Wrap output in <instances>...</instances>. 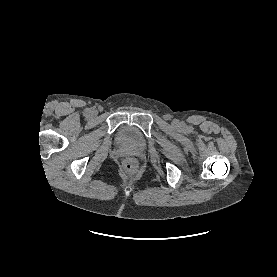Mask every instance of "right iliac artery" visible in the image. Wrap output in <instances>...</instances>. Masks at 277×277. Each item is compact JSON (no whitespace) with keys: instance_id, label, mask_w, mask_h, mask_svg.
<instances>
[{"instance_id":"1","label":"right iliac artery","mask_w":277,"mask_h":277,"mask_svg":"<svg viewBox=\"0 0 277 277\" xmlns=\"http://www.w3.org/2000/svg\"><path fill=\"white\" fill-rule=\"evenodd\" d=\"M85 114H86V115L90 114V110H89V109H86V110H85Z\"/></svg>"}]
</instances>
